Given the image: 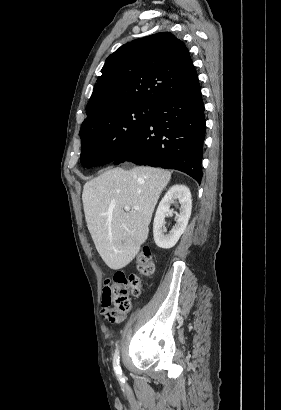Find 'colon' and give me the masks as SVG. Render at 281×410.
Here are the masks:
<instances>
[{"instance_id": "obj_1", "label": "colon", "mask_w": 281, "mask_h": 410, "mask_svg": "<svg viewBox=\"0 0 281 410\" xmlns=\"http://www.w3.org/2000/svg\"><path fill=\"white\" fill-rule=\"evenodd\" d=\"M138 268L144 276H151L154 272V263L151 250L144 246L138 257ZM141 292V280L135 274L126 275L117 272L113 281L109 285L110 303L113 308L106 315V319L112 323L118 322L122 314L128 313L131 309V298L138 297Z\"/></svg>"}]
</instances>
